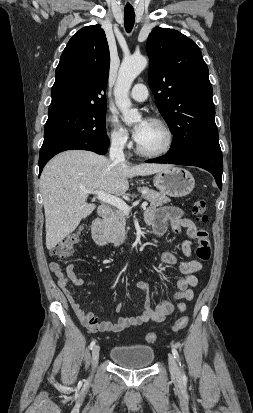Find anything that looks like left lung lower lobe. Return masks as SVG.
<instances>
[{"instance_id": "0a47b994", "label": "left lung lower lobe", "mask_w": 253, "mask_h": 413, "mask_svg": "<svg viewBox=\"0 0 253 413\" xmlns=\"http://www.w3.org/2000/svg\"><path fill=\"white\" fill-rule=\"evenodd\" d=\"M148 163H169L197 166L209 171L222 189L223 161L221 149L196 148L179 153H168L165 156L147 160Z\"/></svg>"}]
</instances>
